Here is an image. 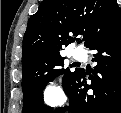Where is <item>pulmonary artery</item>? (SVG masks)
Here are the masks:
<instances>
[{
	"label": "pulmonary artery",
	"instance_id": "e3ab8cb5",
	"mask_svg": "<svg viewBox=\"0 0 121 113\" xmlns=\"http://www.w3.org/2000/svg\"><path fill=\"white\" fill-rule=\"evenodd\" d=\"M82 56H83V55H81V54L78 53V52H75V54H74V57H75L76 59H82Z\"/></svg>",
	"mask_w": 121,
	"mask_h": 113
}]
</instances>
